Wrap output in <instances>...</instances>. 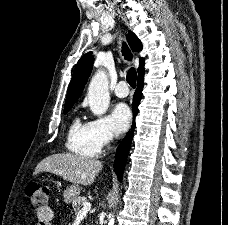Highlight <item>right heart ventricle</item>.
Returning <instances> with one entry per match:
<instances>
[{
    "mask_svg": "<svg viewBox=\"0 0 228 225\" xmlns=\"http://www.w3.org/2000/svg\"><path fill=\"white\" fill-rule=\"evenodd\" d=\"M65 146L68 151L83 157H96L100 154V147L88 124H82L78 117H74L69 124Z\"/></svg>",
    "mask_w": 228,
    "mask_h": 225,
    "instance_id": "1",
    "label": "right heart ventricle"
}]
</instances>
